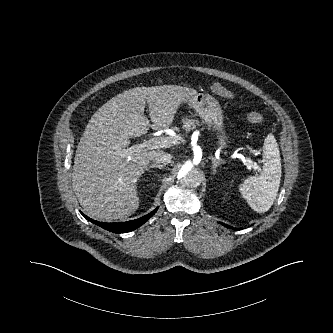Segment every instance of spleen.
Listing matches in <instances>:
<instances>
[{
    "instance_id": "3e777b00",
    "label": "spleen",
    "mask_w": 333,
    "mask_h": 333,
    "mask_svg": "<svg viewBox=\"0 0 333 333\" xmlns=\"http://www.w3.org/2000/svg\"><path fill=\"white\" fill-rule=\"evenodd\" d=\"M263 148L262 172L247 178L239 187L250 207L258 213L267 212L273 205L282 173L279 147L272 134L265 138Z\"/></svg>"
}]
</instances>
